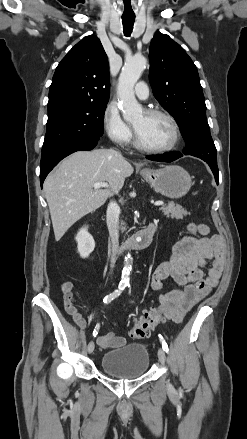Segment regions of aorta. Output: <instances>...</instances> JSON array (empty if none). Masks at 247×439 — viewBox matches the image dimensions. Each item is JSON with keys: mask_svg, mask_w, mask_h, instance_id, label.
Here are the masks:
<instances>
[{"mask_svg": "<svg viewBox=\"0 0 247 439\" xmlns=\"http://www.w3.org/2000/svg\"><path fill=\"white\" fill-rule=\"evenodd\" d=\"M147 60L143 56H133L126 59L122 67L119 80L117 95L119 99V108L123 113V118L126 121H132L142 114V108L138 104L135 94L134 86L144 69L146 68ZM131 256L128 254L125 257L124 267L122 270L121 283H128L130 271L132 269Z\"/></svg>", "mask_w": 247, "mask_h": 439, "instance_id": "1", "label": "aorta"}]
</instances>
